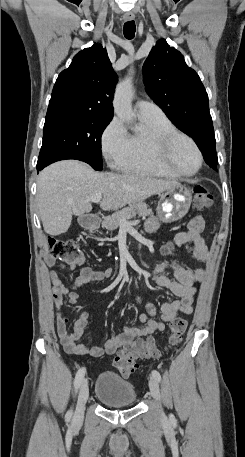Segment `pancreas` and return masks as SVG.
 Returning a JSON list of instances; mask_svg holds the SVG:
<instances>
[{
	"mask_svg": "<svg viewBox=\"0 0 245 457\" xmlns=\"http://www.w3.org/2000/svg\"><path fill=\"white\" fill-rule=\"evenodd\" d=\"M148 216V214H152V208H148V204L143 202V200H139V202H134V204H129L126 208H122V210H117V212H113L110 216H104L102 220V226L107 231H115L120 226L121 222H127V218H132V216ZM125 218V220H123Z\"/></svg>",
	"mask_w": 245,
	"mask_h": 457,
	"instance_id": "1",
	"label": "pancreas"
}]
</instances>
